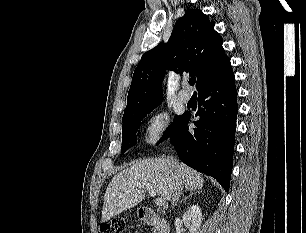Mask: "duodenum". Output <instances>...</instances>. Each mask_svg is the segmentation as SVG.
I'll return each instance as SVG.
<instances>
[{
    "label": "duodenum",
    "mask_w": 306,
    "mask_h": 233,
    "mask_svg": "<svg viewBox=\"0 0 306 233\" xmlns=\"http://www.w3.org/2000/svg\"><path fill=\"white\" fill-rule=\"evenodd\" d=\"M142 221L148 225H152L156 228V233H170L168 223L161 218L155 210L150 207H142L139 210Z\"/></svg>",
    "instance_id": "obj_1"
}]
</instances>
